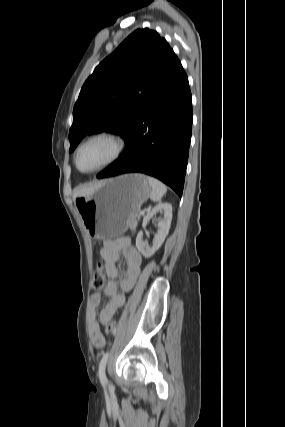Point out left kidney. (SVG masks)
I'll return each instance as SVG.
<instances>
[{
	"instance_id": "left-kidney-1",
	"label": "left kidney",
	"mask_w": 285,
	"mask_h": 427,
	"mask_svg": "<svg viewBox=\"0 0 285 427\" xmlns=\"http://www.w3.org/2000/svg\"><path fill=\"white\" fill-rule=\"evenodd\" d=\"M163 213L164 218L158 222V233L153 240V246L148 247L143 241V232L140 231L136 238V247L145 258L151 257L163 244L166 236L168 235L171 220H172V206L169 203L158 204L155 206L143 219L142 227L145 228L147 223L156 213Z\"/></svg>"
}]
</instances>
